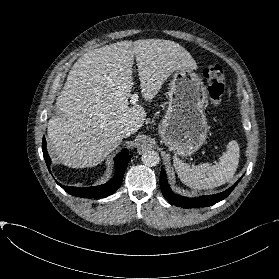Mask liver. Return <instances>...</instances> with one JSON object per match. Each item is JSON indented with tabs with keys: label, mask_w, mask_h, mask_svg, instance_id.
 <instances>
[{
	"label": "liver",
	"mask_w": 279,
	"mask_h": 279,
	"mask_svg": "<svg viewBox=\"0 0 279 279\" xmlns=\"http://www.w3.org/2000/svg\"><path fill=\"white\" fill-rule=\"evenodd\" d=\"M134 58L146 101L175 70L197 68L184 47L164 39L120 41L85 53L70 70L57 97L58 115L47 127L52 151L64 165H98L121 144L125 127L135 133L143 125L145 109L128 102Z\"/></svg>",
	"instance_id": "liver-1"
}]
</instances>
